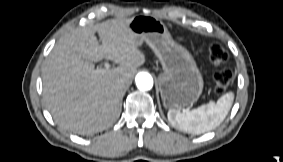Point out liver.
I'll return each mask as SVG.
<instances>
[{"label":"liver","instance_id":"liver-1","mask_svg":"<svg viewBox=\"0 0 283 162\" xmlns=\"http://www.w3.org/2000/svg\"><path fill=\"white\" fill-rule=\"evenodd\" d=\"M129 22L120 18L79 27L54 45L42 67L43 98L62 129L90 135L116 121L123 90L117 81L122 78L130 85L136 69L146 61L126 28ZM103 58L119 66L96 73L93 62Z\"/></svg>","mask_w":283,"mask_h":162}]
</instances>
